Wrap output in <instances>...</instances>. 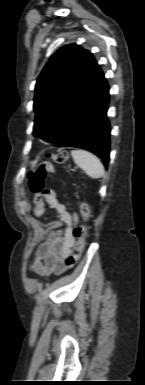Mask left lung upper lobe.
<instances>
[{
    "mask_svg": "<svg viewBox=\"0 0 145 385\" xmlns=\"http://www.w3.org/2000/svg\"><path fill=\"white\" fill-rule=\"evenodd\" d=\"M97 64L91 53L78 45L60 48L37 79L33 134L47 142L84 93Z\"/></svg>",
    "mask_w": 145,
    "mask_h": 385,
    "instance_id": "left-lung-upper-lobe-1",
    "label": "left lung upper lobe"
}]
</instances>
